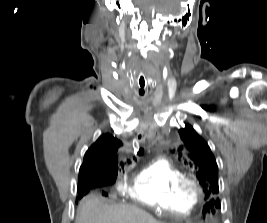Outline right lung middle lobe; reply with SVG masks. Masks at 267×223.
I'll use <instances>...</instances> for the list:
<instances>
[{"instance_id":"obj_1","label":"right lung middle lobe","mask_w":267,"mask_h":223,"mask_svg":"<svg viewBox=\"0 0 267 223\" xmlns=\"http://www.w3.org/2000/svg\"><path fill=\"white\" fill-rule=\"evenodd\" d=\"M118 174V168L109 169L101 178L104 179L108 184L115 181ZM86 193L79 194L78 198H81Z\"/></svg>"}]
</instances>
